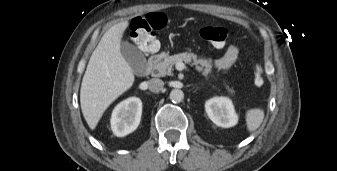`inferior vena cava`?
Segmentation results:
<instances>
[{
    "mask_svg": "<svg viewBox=\"0 0 337 171\" xmlns=\"http://www.w3.org/2000/svg\"><path fill=\"white\" fill-rule=\"evenodd\" d=\"M164 82L161 79L153 78L148 81V88L151 92H159L163 89Z\"/></svg>",
    "mask_w": 337,
    "mask_h": 171,
    "instance_id": "602c4592",
    "label": "inferior vena cava"
}]
</instances>
